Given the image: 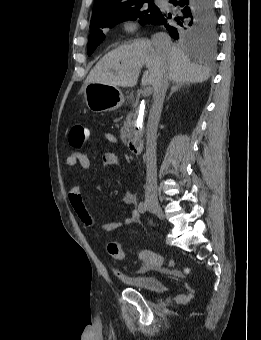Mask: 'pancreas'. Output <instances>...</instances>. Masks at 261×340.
<instances>
[{
	"label": "pancreas",
	"mask_w": 261,
	"mask_h": 340,
	"mask_svg": "<svg viewBox=\"0 0 261 340\" xmlns=\"http://www.w3.org/2000/svg\"><path fill=\"white\" fill-rule=\"evenodd\" d=\"M135 127H136V113H129L121 129L120 138L123 143H126L127 140L131 139L134 135L138 134Z\"/></svg>",
	"instance_id": "pancreas-1"
}]
</instances>
